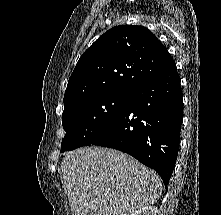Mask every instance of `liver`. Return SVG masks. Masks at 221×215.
<instances>
[{"mask_svg": "<svg viewBox=\"0 0 221 215\" xmlns=\"http://www.w3.org/2000/svg\"><path fill=\"white\" fill-rule=\"evenodd\" d=\"M61 171L72 215H131L155 204L162 193L156 172L110 148L91 146L68 152Z\"/></svg>", "mask_w": 221, "mask_h": 215, "instance_id": "liver-1", "label": "liver"}]
</instances>
